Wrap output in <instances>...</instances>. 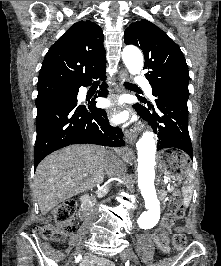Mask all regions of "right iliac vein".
Instances as JSON below:
<instances>
[{"label":"right iliac vein","mask_w":221,"mask_h":266,"mask_svg":"<svg viewBox=\"0 0 221 266\" xmlns=\"http://www.w3.org/2000/svg\"><path fill=\"white\" fill-rule=\"evenodd\" d=\"M82 247H79L77 250H76V254H80L82 252Z\"/></svg>","instance_id":"1"}]
</instances>
